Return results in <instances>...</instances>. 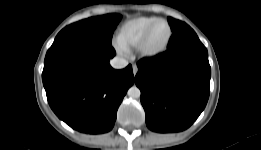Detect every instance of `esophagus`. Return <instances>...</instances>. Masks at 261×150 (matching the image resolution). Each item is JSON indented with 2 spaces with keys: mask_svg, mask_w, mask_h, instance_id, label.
Instances as JSON below:
<instances>
[{
  "mask_svg": "<svg viewBox=\"0 0 261 150\" xmlns=\"http://www.w3.org/2000/svg\"><path fill=\"white\" fill-rule=\"evenodd\" d=\"M132 70H133V74H134V76L137 74V72H138V67H137V65H132Z\"/></svg>",
  "mask_w": 261,
  "mask_h": 150,
  "instance_id": "1",
  "label": "esophagus"
}]
</instances>
